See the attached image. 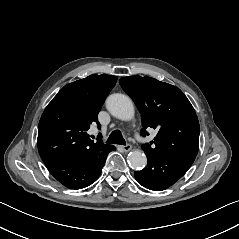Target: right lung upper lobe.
<instances>
[{
	"mask_svg": "<svg viewBox=\"0 0 239 239\" xmlns=\"http://www.w3.org/2000/svg\"><path fill=\"white\" fill-rule=\"evenodd\" d=\"M117 76L90 75L64 86L44 110L38 126V151L45 162L73 159L101 150L86 131L96 122Z\"/></svg>",
	"mask_w": 239,
	"mask_h": 239,
	"instance_id": "cb5924a9",
	"label": "right lung upper lobe"
}]
</instances>
